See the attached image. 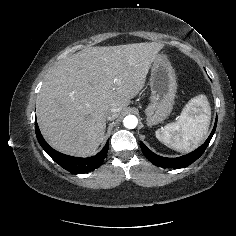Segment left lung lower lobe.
Returning a JSON list of instances; mask_svg holds the SVG:
<instances>
[{
	"instance_id": "1",
	"label": "left lung lower lobe",
	"mask_w": 236,
	"mask_h": 236,
	"mask_svg": "<svg viewBox=\"0 0 236 236\" xmlns=\"http://www.w3.org/2000/svg\"><path fill=\"white\" fill-rule=\"evenodd\" d=\"M216 125H217V117H216V121L214 124V128H213L211 134L209 135V137L207 138V140L205 141V143L203 145H201L199 148H197L195 151H193L187 155L181 156V157L166 158V157L158 156L155 153H153L152 151H150L143 144V142H140V146H141L142 152L145 155V157L156 166L163 167V168H185V167L189 166L191 163H193L194 161H196L203 154V152L207 148V146H208V144L215 132Z\"/></svg>"
}]
</instances>
